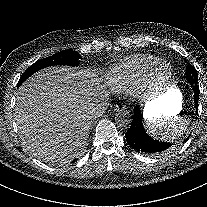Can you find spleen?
<instances>
[{"label": "spleen", "instance_id": "spleen-1", "mask_svg": "<svg viewBox=\"0 0 207 207\" xmlns=\"http://www.w3.org/2000/svg\"><path fill=\"white\" fill-rule=\"evenodd\" d=\"M193 121L188 116H178L173 119H148L143 129L150 135L153 142L161 144L173 142L184 136L192 128Z\"/></svg>", "mask_w": 207, "mask_h": 207}]
</instances>
